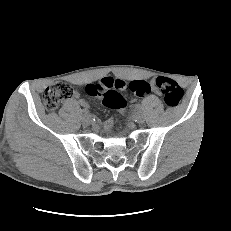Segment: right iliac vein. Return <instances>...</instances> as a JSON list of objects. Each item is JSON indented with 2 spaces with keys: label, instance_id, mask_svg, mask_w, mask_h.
<instances>
[{
  "label": "right iliac vein",
  "instance_id": "1",
  "mask_svg": "<svg viewBox=\"0 0 231 231\" xmlns=\"http://www.w3.org/2000/svg\"><path fill=\"white\" fill-rule=\"evenodd\" d=\"M83 122H84V124H86V125L90 124V123L92 122L91 116H90V115H85V116L83 117Z\"/></svg>",
  "mask_w": 231,
  "mask_h": 231
}]
</instances>
